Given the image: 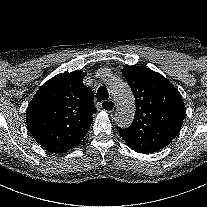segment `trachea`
<instances>
[{
  "label": "trachea",
  "instance_id": "trachea-1",
  "mask_svg": "<svg viewBox=\"0 0 207 207\" xmlns=\"http://www.w3.org/2000/svg\"><path fill=\"white\" fill-rule=\"evenodd\" d=\"M96 97H97L98 102L104 101L102 104L103 107L111 103V102L106 101L108 99V91L103 86L98 89Z\"/></svg>",
  "mask_w": 207,
  "mask_h": 207
}]
</instances>
